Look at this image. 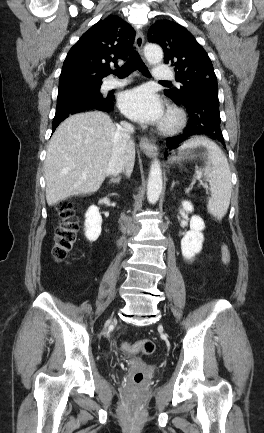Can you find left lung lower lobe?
<instances>
[{"label": "left lung lower lobe", "mask_w": 264, "mask_h": 433, "mask_svg": "<svg viewBox=\"0 0 264 433\" xmlns=\"http://www.w3.org/2000/svg\"><path fill=\"white\" fill-rule=\"evenodd\" d=\"M175 103L186 108L189 121L188 128L183 134L166 139L167 148L169 150L177 148L180 143L194 135L209 136L212 139L220 141L225 146L220 128L221 119L218 99L197 95L189 97L182 102Z\"/></svg>", "instance_id": "left-lung-lower-lobe-1"}]
</instances>
